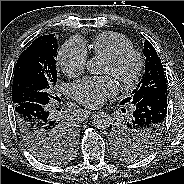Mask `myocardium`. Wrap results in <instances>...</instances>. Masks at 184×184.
<instances>
[{
    "mask_svg": "<svg viewBox=\"0 0 184 184\" xmlns=\"http://www.w3.org/2000/svg\"><path fill=\"white\" fill-rule=\"evenodd\" d=\"M105 61L111 68V74L127 87L138 81L144 66L142 54L133 48L121 51Z\"/></svg>",
    "mask_w": 184,
    "mask_h": 184,
    "instance_id": "obj_1",
    "label": "myocardium"
}]
</instances>
